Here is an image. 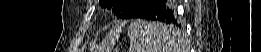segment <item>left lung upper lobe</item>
Here are the masks:
<instances>
[{
  "instance_id": "left-lung-upper-lobe-1",
  "label": "left lung upper lobe",
  "mask_w": 261,
  "mask_h": 52,
  "mask_svg": "<svg viewBox=\"0 0 261 52\" xmlns=\"http://www.w3.org/2000/svg\"><path fill=\"white\" fill-rule=\"evenodd\" d=\"M155 0H99L102 7L114 6L117 18H136Z\"/></svg>"
}]
</instances>
